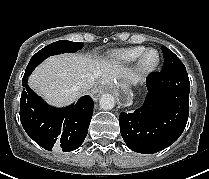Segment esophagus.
I'll return each instance as SVG.
<instances>
[{
	"instance_id": "1",
	"label": "esophagus",
	"mask_w": 209,
	"mask_h": 179,
	"mask_svg": "<svg viewBox=\"0 0 209 179\" xmlns=\"http://www.w3.org/2000/svg\"><path fill=\"white\" fill-rule=\"evenodd\" d=\"M102 93H108L109 96H114L118 103L122 106L127 105L130 101L129 94L127 92L105 85H99L98 87L92 88L88 92L87 97L89 100L94 101L101 96Z\"/></svg>"
}]
</instances>
